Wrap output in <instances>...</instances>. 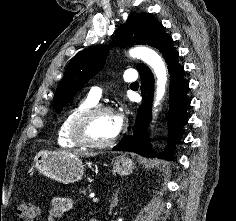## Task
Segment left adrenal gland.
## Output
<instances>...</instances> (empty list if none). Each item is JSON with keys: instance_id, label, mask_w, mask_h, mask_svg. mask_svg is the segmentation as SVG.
I'll use <instances>...</instances> for the list:
<instances>
[{"instance_id": "a2214340", "label": "left adrenal gland", "mask_w": 236, "mask_h": 221, "mask_svg": "<svg viewBox=\"0 0 236 221\" xmlns=\"http://www.w3.org/2000/svg\"><path fill=\"white\" fill-rule=\"evenodd\" d=\"M118 193H119V189H117L112 197V201H111V209L115 208L118 205Z\"/></svg>"}]
</instances>
